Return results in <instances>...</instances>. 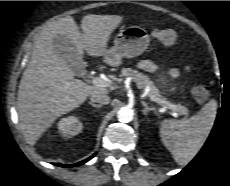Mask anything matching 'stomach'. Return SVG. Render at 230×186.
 <instances>
[{
    "label": "stomach",
    "mask_w": 230,
    "mask_h": 186,
    "mask_svg": "<svg viewBox=\"0 0 230 186\" xmlns=\"http://www.w3.org/2000/svg\"><path fill=\"white\" fill-rule=\"evenodd\" d=\"M149 45V35L139 26H130L121 31L114 41V46L107 49L104 61L110 66H119L122 58H133L142 54ZM159 82L166 87L168 81L160 78Z\"/></svg>",
    "instance_id": "0dacf381"
}]
</instances>
